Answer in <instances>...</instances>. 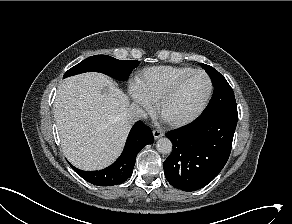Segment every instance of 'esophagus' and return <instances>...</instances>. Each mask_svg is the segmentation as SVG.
Here are the masks:
<instances>
[{"mask_svg":"<svg viewBox=\"0 0 292 224\" xmlns=\"http://www.w3.org/2000/svg\"><path fill=\"white\" fill-rule=\"evenodd\" d=\"M152 133L155 139H158L163 136V132L157 129L153 130Z\"/></svg>","mask_w":292,"mask_h":224,"instance_id":"34e87169","label":"esophagus"}]
</instances>
